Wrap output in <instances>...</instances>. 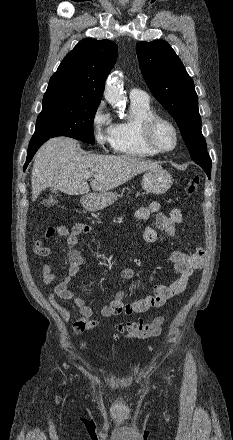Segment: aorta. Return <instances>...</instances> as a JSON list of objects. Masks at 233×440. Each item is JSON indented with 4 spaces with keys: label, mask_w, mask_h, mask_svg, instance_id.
Segmentation results:
<instances>
[{
    "label": "aorta",
    "mask_w": 233,
    "mask_h": 440,
    "mask_svg": "<svg viewBox=\"0 0 233 440\" xmlns=\"http://www.w3.org/2000/svg\"><path fill=\"white\" fill-rule=\"evenodd\" d=\"M105 99L114 106H120L123 101V93L121 87V80L117 76H109L106 82Z\"/></svg>",
    "instance_id": "762f6f07"
}]
</instances>
